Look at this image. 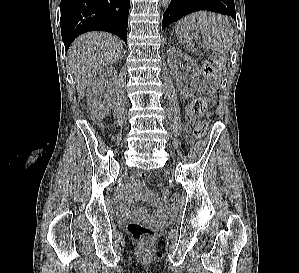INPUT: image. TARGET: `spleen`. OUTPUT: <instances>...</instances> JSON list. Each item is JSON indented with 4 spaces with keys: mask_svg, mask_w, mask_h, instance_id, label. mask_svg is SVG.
I'll list each match as a JSON object with an SVG mask.
<instances>
[{
    "mask_svg": "<svg viewBox=\"0 0 299 273\" xmlns=\"http://www.w3.org/2000/svg\"><path fill=\"white\" fill-rule=\"evenodd\" d=\"M192 31L201 32L204 44L215 55L228 53L232 46L234 31L222 15L200 11L177 22L175 33L185 43L192 42L189 36Z\"/></svg>",
    "mask_w": 299,
    "mask_h": 273,
    "instance_id": "1",
    "label": "spleen"
}]
</instances>
